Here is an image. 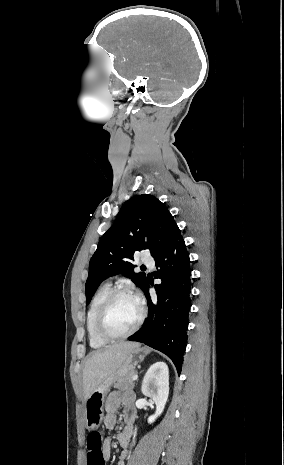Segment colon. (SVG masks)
<instances>
[{
  "mask_svg": "<svg viewBox=\"0 0 284 465\" xmlns=\"http://www.w3.org/2000/svg\"><path fill=\"white\" fill-rule=\"evenodd\" d=\"M99 432L95 431L93 437L89 438L87 447L88 465H104L103 453L101 450L102 441L98 437Z\"/></svg>",
  "mask_w": 284,
  "mask_h": 465,
  "instance_id": "obj_1",
  "label": "colon"
}]
</instances>
